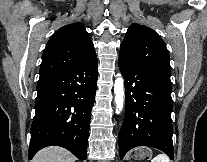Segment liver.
I'll return each instance as SVG.
<instances>
[{
  "label": "liver",
  "mask_w": 207,
  "mask_h": 162,
  "mask_svg": "<svg viewBox=\"0 0 207 162\" xmlns=\"http://www.w3.org/2000/svg\"><path fill=\"white\" fill-rule=\"evenodd\" d=\"M76 157L66 149L51 146L37 152L31 162H75Z\"/></svg>",
  "instance_id": "obj_1"
}]
</instances>
